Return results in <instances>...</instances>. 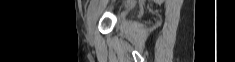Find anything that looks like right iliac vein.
<instances>
[{
  "label": "right iliac vein",
  "mask_w": 235,
  "mask_h": 62,
  "mask_svg": "<svg viewBox=\"0 0 235 62\" xmlns=\"http://www.w3.org/2000/svg\"><path fill=\"white\" fill-rule=\"evenodd\" d=\"M96 18H97V9H94L87 23V33L90 37L93 35V29Z\"/></svg>",
  "instance_id": "obj_1"
}]
</instances>
